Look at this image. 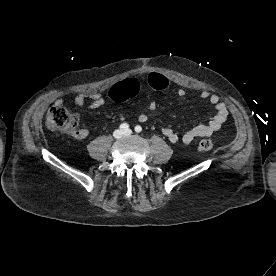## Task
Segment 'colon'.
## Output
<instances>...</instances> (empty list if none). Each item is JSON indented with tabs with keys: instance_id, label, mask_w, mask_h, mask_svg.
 <instances>
[{
	"instance_id": "1",
	"label": "colon",
	"mask_w": 276,
	"mask_h": 276,
	"mask_svg": "<svg viewBox=\"0 0 276 276\" xmlns=\"http://www.w3.org/2000/svg\"><path fill=\"white\" fill-rule=\"evenodd\" d=\"M168 85V84H167ZM113 97L120 94V88L115 86L111 90ZM79 123V116L62 105L52 106L46 115V126L50 131L63 132L67 136H73ZM213 142L209 138H203L196 143L195 149L198 152L210 151Z\"/></svg>"
}]
</instances>
